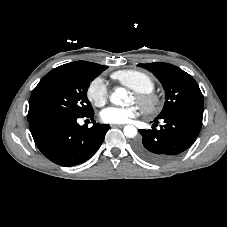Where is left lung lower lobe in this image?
<instances>
[{"instance_id":"0a47b994","label":"left lung lower lobe","mask_w":227,"mask_h":227,"mask_svg":"<svg viewBox=\"0 0 227 227\" xmlns=\"http://www.w3.org/2000/svg\"><path fill=\"white\" fill-rule=\"evenodd\" d=\"M203 114L182 112L160 118L165 125L157 130L141 129V139L134 144L135 152L151 163H164L188 149L196 140L202 126ZM155 118V123H158Z\"/></svg>"}]
</instances>
